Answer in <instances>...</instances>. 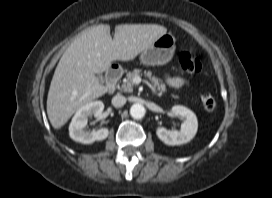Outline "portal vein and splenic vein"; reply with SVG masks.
<instances>
[{"mask_svg": "<svg viewBox=\"0 0 272 198\" xmlns=\"http://www.w3.org/2000/svg\"><path fill=\"white\" fill-rule=\"evenodd\" d=\"M133 82H134L135 84H139V83L141 82V78H140L139 76H137V77H135V78L133 79Z\"/></svg>", "mask_w": 272, "mask_h": 198, "instance_id": "1", "label": "portal vein and splenic vein"}]
</instances>
